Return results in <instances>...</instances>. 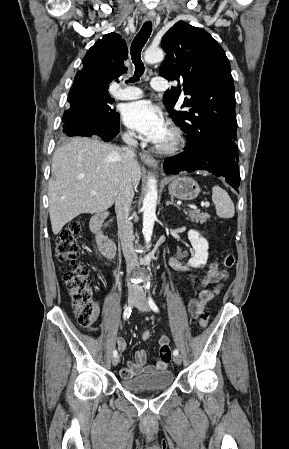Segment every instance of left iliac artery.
I'll use <instances>...</instances> for the list:
<instances>
[{
  "instance_id": "obj_1",
  "label": "left iliac artery",
  "mask_w": 289,
  "mask_h": 449,
  "mask_svg": "<svg viewBox=\"0 0 289 449\" xmlns=\"http://www.w3.org/2000/svg\"><path fill=\"white\" fill-rule=\"evenodd\" d=\"M148 303H149L150 308H151L154 312H159V309H158L156 303L154 302V300L152 299V297H151L150 295H149V297H148ZM173 354H174V355H178V354H179V351H178L177 349H175V350L173 351Z\"/></svg>"
}]
</instances>
